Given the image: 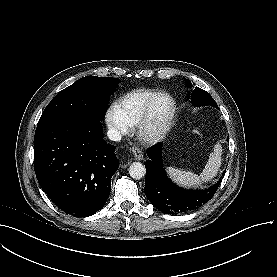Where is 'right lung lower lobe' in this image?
<instances>
[{
  "label": "right lung lower lobe",
  "instance_id": "right-lung-lower-lobe-1",
  "mask_svg": "<svg viewBox=\"0 0 277 277\" xmlns=\"http://www.w3.org/2000/svg\"><path fill=\"white\" fill-rule=\"evenodd\" d=\"M118 167L115 146L104 141L100 121L36 128L37 180L55 205L74 217L91 216L103 207Z\"/></svg>",
  "mask_w": 277,
  "mask_h": 277
}]
</instances>
